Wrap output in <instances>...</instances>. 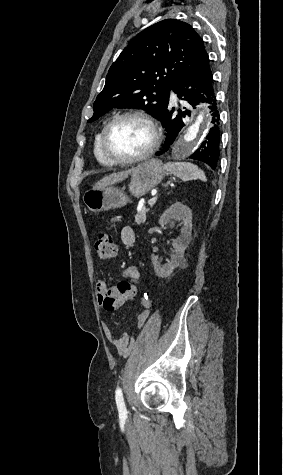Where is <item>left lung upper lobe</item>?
I'll use <instances>...</instances> for the list:
<instances>
[{
	"label": "left lung upper lobe",
	"mask_w": 283,
	"mask_h": 475,
	"mask_svg": "<svg viewBox=\"0 0 283 475\" xmlns=\"http://www.w3.org/2000/svg\"><path fill=\"white\" fill-rule=\"evenodd\" d=\"M208 59L202 38L188 23L166 19L146 28L110 67L88 122L112 108L143 109L159 119L174 84Z\"/></svg>",
	"instance_id": "left-lung-upper-lobe-1"
}]
</instances>
